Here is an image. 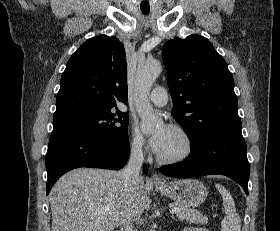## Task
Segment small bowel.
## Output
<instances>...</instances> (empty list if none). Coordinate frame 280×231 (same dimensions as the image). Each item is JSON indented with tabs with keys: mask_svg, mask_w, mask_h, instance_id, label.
<instances>
[{
	"mask_svg": "<svg viewBox=\"0 0 280 231\" xmlns=\"http://www.w3.org/2000/svg\"><path fill=\"white\" fill-rule=\"evenodd\" d=\"M184 231H202V229L196 227H189L185 228Z\"/></svg>",
	"mask_w": 280,
	"mask_h": 231,
	"instance_id": "1",
	"label": "small bowel"
}]
</instances>
